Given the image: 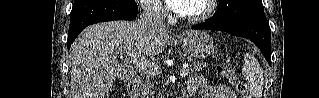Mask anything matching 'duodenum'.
<instances>
[{
  "label": "duodenum",
  "mask_w": 319,
  "mask_h": 98,
  "mask_svg": "<svg viewBox=\"0 0 319 98\" xmlns=\"http://www.w3.org/2000/svg\"><path fill=\"white\" fill-rule=\"evenodd\" d=\"M141 81L138 77H134L127 83V90L130 98H140Z\"/></svg>",
  "instance_id": "obj_1"
}]
</instances>
